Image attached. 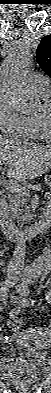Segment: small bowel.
Listing matches in <instances>:
<instances>
[{
  "instance_id": "small-bowel-1",
  "label": "small bowel",
  "mask_w": 51,
  "mask_h": 393,
  "mask_svg": "<svg viewBox=\"0 0 51 393\" xmlns=\"http://www.w3.org/2000/svg\"><path fill=\"white\" fill-rule=\"evenodd\" d=\"M9 303L11 306L10 314L14 315L18 314L21 308L32 306L34 304V299L32 297H12ZM31 330L39 331L35 328H31L30 331Z\"/></svg>"
}]
</instances>
